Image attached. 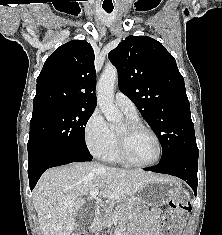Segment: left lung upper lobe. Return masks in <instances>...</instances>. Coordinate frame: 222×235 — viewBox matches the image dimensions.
Listing matches in <instances>:
<instances>
[{
  "mask_svg": "<svg viewBox=\"0 0 222 235\" xmlns=\"http://www.w3.org/2000/svg\"><path fill=\"white\" fill-rule=\"evenodd\" d=\"M108 56L118 70L119 89L160 140V161L199 154L184 79L163 45L148 36H128Z\"/></svg>",
  "mask_w": 222,
  "mask_h": 235,
  "instance_id": "left-lung-upper-lobe-1",
  "label": "left lung upper lobe"
}]
</instances>
